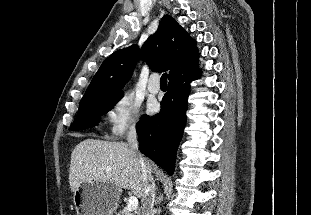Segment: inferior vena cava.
<instances>
[{
	"instance_id": "602c4592",
	"label": "inferior vena cava",
	"mask_w": 311,
	"mask_h": 215,
	"mask_svg": "<svg viewBox=\"0 0 311 215\" xmlns=\"http://www.w3.org/2000/svg\"><path fill=\"white\" fill-rule=\"evenodd\" d=\"M128 145L131 151L136 155L138 164L140 165L141 172L144 177V194L147 196L146 202L143 204L142 215H150V209L153 206L154 198H155V183L151 172L147 168L146 161L139 153L138 150V140H137V132L135 128H131L127 135Z\"/></svg>"
}]
</instances>
